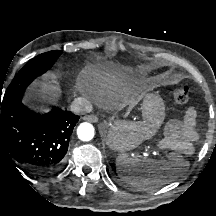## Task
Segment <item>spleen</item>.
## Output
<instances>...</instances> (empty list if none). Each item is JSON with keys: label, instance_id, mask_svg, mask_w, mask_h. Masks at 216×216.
<instances>
[{"label": "spleen", "instance_id": "obj_1", "mask_svg": "<svg viewBox=\"0 0 216 216\" xmlns=\"http://www.w3.org/2000/svg\"><path fill=\"white\" fill-rule=\"evenodd\" d=\"M116 170L120 178L130 186L141 190H152L177 178L178 164L165 160L138 159L128 154L116 158Z\"/></svg>", "mask_w": 216, "mask_h": 216}]
</instances>
